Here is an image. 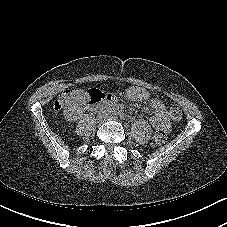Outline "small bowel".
Returning <instances> with one entry per match:
<instances>
[{"label":"small bowel","mask_w":227,"mask_h":227,"mask_svg":"<svg viewBox=\"0 0 227 227\" xmlns=\"http://www.w3.org/2000/svg\"><path fill=\"white\" fill-rule=\"evenodd\" d=\"M126 98L130 101L148 102L153 112V116L150 120L152 126L155 129L163 131L170 129V120L167 107L161 98L154 96L149 91L140 87H132L128 89L126 91Z\"/></svg>","instance_id":"small-bowel-1"}]
</instances>
